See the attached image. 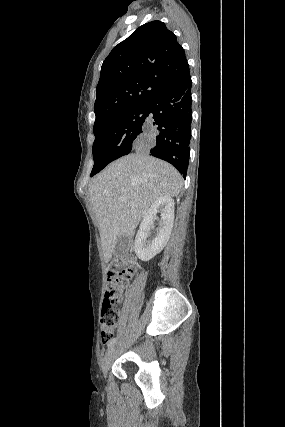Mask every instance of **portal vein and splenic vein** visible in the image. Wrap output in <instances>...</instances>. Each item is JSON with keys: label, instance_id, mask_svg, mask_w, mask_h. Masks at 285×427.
<instances>
[{"label": "portal vein and splenic vein", "instance_id": "18ae733b", "mask_svg": "<svg viewBox=\"0 0 285 427\" xmlns=\"http://www.w3.org/2000/svg\"><path fill=\"white\" fill-rule=\"evenodd\" d=\"M120 199H121L122 201H125V200H126V198H125L124 196H121V197H120Z\"/></svg>", "mask_w": 285, "mask_h": 427}]
</instances>
